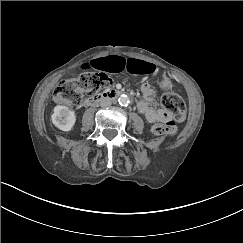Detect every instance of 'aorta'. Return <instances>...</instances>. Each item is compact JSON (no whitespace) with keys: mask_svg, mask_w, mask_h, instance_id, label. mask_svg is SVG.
<instances>
[{"mask_svg":"<svg viewBox=\"0 0 243 243\" xmlns=\"http://www.w3.org/2000/svg\"><path fill=\"white\" fill-rule=\"evenodd\" d=\"M118 102L121 105H126L129 102V98L126 94H121L120 97L118 98Z\"/></svg>","mask_w":243,"mask_h":243,"instance_id":"obj_1","label":"aorta"}]
</instances>
